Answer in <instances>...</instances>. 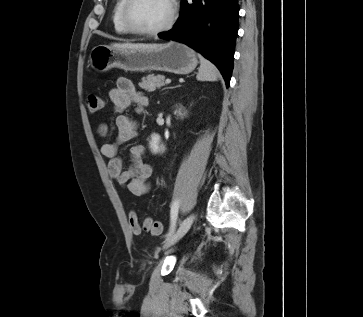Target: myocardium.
Segmentation results:
<instances>
[{"mask_svg": "<svg viewBox=\"0 0 363 317\" xmlns=\"http://www.w3.org/2000/svg\"><path fill=\"white\" fill-rule=\"evenodd\" d=\"M135 2H136V0H125V3L122 8V21H123L125 28L130 33L139 35V36L152 37V36H158L160 34L165 33L173 26V24L176 20V17H177V13H178L177 0H168V2L170 4L169 17L162 26H160L159 28L153 29V30L140 29V28L136 27L134 25V23L132 22L130 13H131V9Z\"/></svg>", "mask_w": 363, "mask_h": 317, "instance_id": "1", "label": "myocardium"}]
</instances>
